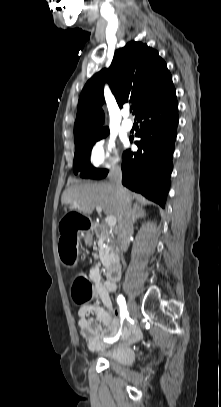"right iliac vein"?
Wrapping results in <instances>:
<instances>
[{"mask_svg":"<svg viewBox=\"0 0 221 407\" xmlns=\"http://www.w3.org/2000/svg\"><path fill=\"white\" fill-rule=\"evenodd\" d=\"M127 308H128V312H129L130 315H133L135 313L136 304L132 299L128 300Z\"/></svg>","mask_w":221,"mask_h":407,"instance_id":"obj_1","label":"right iliac vein"}]
</instances>
